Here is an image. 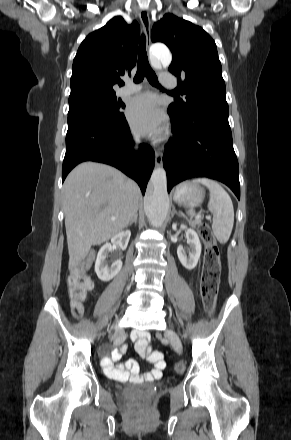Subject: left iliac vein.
<instances>
[{
  "mask_svg": "<svg viewBox=\"0 0 291 440\" xmlns=\"http://www.w3.org/2000/svg\"><path fill=\"white\" fill-rule=\"evenodd\" d=\"M167 336H168L173 348L175 349V351L178 353H182V345H181V342H180V339L178 338V336L172 331H169L167 333Z\"/></svg>",
  "mask_w": 291,
  "mask_h": 440,
  "instance_id": "4c4485c4",
  "label": "left iliac vein"
}]
</instances>
